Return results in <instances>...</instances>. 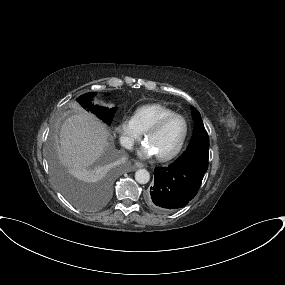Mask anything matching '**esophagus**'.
I'll use <instances>...</instances> for the list:
<instances>
[{"label": "esophagus", "mask_w": 285, "mask_h": 285, "mask_svg": "<svg viewBox=\"0 0 285 285\" xmlns=\"http://www.w3.org/2000/svg\"><path fill=\"white\" fill-rule=\"evenodd\" d=\"M143 164L140 162H136L133 166H131L128 171H135L137 168H142Z\"/></svg>", "instance_id": "34e87169"}]
</instances>
